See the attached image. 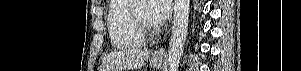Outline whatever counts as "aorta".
<instances>
[{"instance_id": "1", "label": "aorta", "mask_w": 301, "mask_h": 71, "mask_svg": "<svg viewBox=\"0 0 301 71\" xmlns=\"http://www.w3.org/2000/svg\"><path fill=\"white\" fill-rule=\"evenodd\" d=\"M190 0L174 1V18L169 50V71H178L189 22Z\"/></svg>"}]
</instances>
